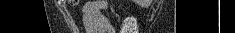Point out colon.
Returning <instances> with one entry per match:
<instances>
[{
  "mask_svg": "<svg viewBox=\"0 0 235 33\" xmlns=\"http://www.w3.org/2000/svg\"><path fill=\"white\" fill-rule=\"evenodd\" d=\"M123 33H137L135 21L131 18L126 19L122 27Z\"/></svg>",
  "mask_w": 235,
  "mask_h": 33,
  "instance_id": "obj_1",
  "label": "colon"
}]
</instances>
